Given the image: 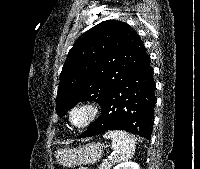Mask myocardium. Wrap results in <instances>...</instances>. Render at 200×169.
I'll list each match as a JSON object with an SVG mask.
<instances>
[{
    "label": "myocardium",
    "mask_w": 200,
    "mask_h": 169,
    "mask_svg": "<svg viewBox=\"0 0 200 169\" xmlns=\"http://www.w3.org/2000/svg\"><path fill=\"white\" fill-rule=\"evenodd\" d=\"M100 106L93 100H81L74 103L68 111V119L71 125L77 129H84L91 126L99 117ZM82 113V121L75 120V114Z\"/></svg>",
    "instance_id": "obj_1"
}]
</instances>
